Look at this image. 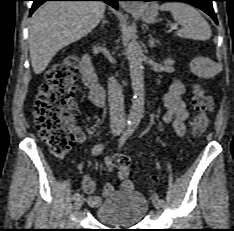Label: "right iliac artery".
Returning a JSON list of instances; mask_svg holds the SVG:
<instances>
[{"instance_id": "82829eb1", "label": "right iliac artery", "mask_w": 234, "mask_h": 231, "mask_svg": "<svg viewBox=\"0 0 234 231\" xmlns=\"http://www.w3.org/2000/svg\"><path fill=\"white\" fill-rule=\"evenodd\" d=\"M131 124H132V122L129 120L124 124L123 128L130 126ZM103 149H104V144H97L92 148L91 151H92L93 155H99L103 151ZM79 197H80V194L78 192H76L73 195V200H77Z\"/></svg>"}]
</instances>
